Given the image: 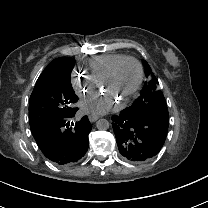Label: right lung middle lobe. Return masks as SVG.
Wrapping results in <instances>:
<instances>
[{"instance_id":"dd1d6c3e","label":"right lung middle lobe","mask_w":208,"mask_h":208,"mask_svg":"<svg viewBox=\"0 0 208 208\" xmlns=\"http://www.w3.org/2000/svg\"><path fill=\"white\" fill-rule=\"evenodd\" d=\"M74 59H54L38 78L29 102V120H52L75 114L78 97L72 88L70 74Z\"/></svg>"}]
</instances>
